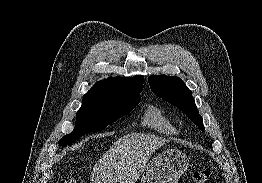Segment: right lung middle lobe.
Wrapping results in <instances>:
<instances>
[{"mask_svg": "<svg viewBox=\"0 0 262 183\" xmlns=\"http://www.w3.org/2000/svg\"><path fill=\"white\" fill-rule=\"evenodd\" d=\"M140 99L127 101H102L83 99L77 111L75 128L59 140V145H71L86 133L105 129L109 124L130 113Z\"/></svg>", "mask_w": 262, "mask_h": 183, "instance_id": "1", "label": "right lung middle lobe"}]
</instances>
